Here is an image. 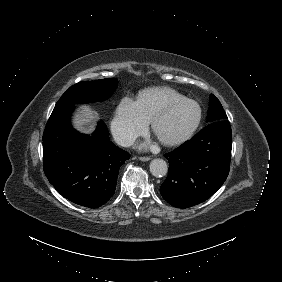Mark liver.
<instances>
[{
    "instance_id": "liver-1",
    "label": "liver",
    "mask_w": 282,
    "mask_h": 282,
    "mask_svg": "<svg viewBox=\"0 0 282 282\" xmlns=\"http://www.w3.org/2000/svg\"><path fill=\"white\" fill-rule=\"evenodd\" d=\"M96 111L86 105H79L72 114V128L82 135L92 136L96 130Z\"/></svg>"
}]
</instances>
